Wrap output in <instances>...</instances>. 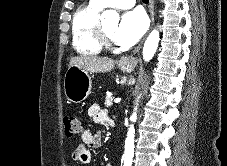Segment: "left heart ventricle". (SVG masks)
<instances>
[{"instance_id":"obj_1","label":"left heart ventricle","mask_w":227,"mask_h":166,"mask_svg":"<svg viewBox=\"0 0 227 166\" xmlns=\"http://www.w3.org/2000/svg\"><path fill=\"white\" fill-rule=\"evenodd\" d=\"M103 27L104 30L106 31V33L110 36V37H114V32L116 29V22H111V21H104L103 22Z\"/></svg>"}]
</instances>
